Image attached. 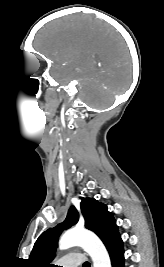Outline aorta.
Masks as SVG:
<instances>
[{
  "label": "aorta",
  "mask_w": 164,
  "mask_h": 267,
  "mask_svg": "<svg viewBox=\"0 0 164 267\" xmlns=\"http://www.w3.org/2000/svg\"><path fill=\"white\" fill-rule=\"evenodd\" d=\"M73 246L82 247L92 258L93 267H111L109 254L102 241L92 232L71 229L59 240V249L65 250Z\"/></svg>",
  "instance_id": "1"
}]
</instances>
